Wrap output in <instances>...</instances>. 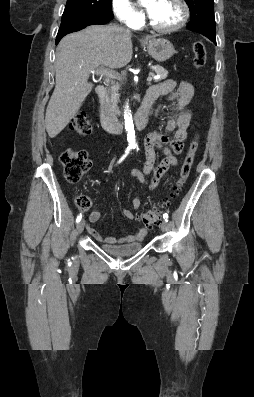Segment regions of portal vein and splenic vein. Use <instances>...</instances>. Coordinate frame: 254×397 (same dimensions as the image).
Masks as SVG:
<instances>
[{"label":"portal vein and splenic vein","mask_w":254,"mask_h":397,"mask_svg":"<svg viewBox=\"0 0 254 397\" xmlns=\"http://www.w3.org/2000/svg\"><path fill=\"white\" fill-rule=\"evenodd\" d=\"M95 73L97 75L105 76V77H108V78H118L119 77L117 73H115L113 71H110V70L104 68L103 66H100L95 71ZM158 78H159V76L155 77V79H158ZM151 81H152V77H151V75H149L148 78H147V82L150 83Z\"/></svg>","instance_id":"18ae733b"}]
</instances>
